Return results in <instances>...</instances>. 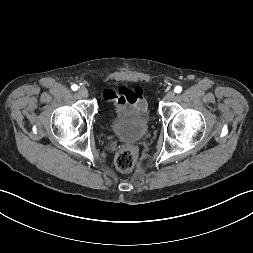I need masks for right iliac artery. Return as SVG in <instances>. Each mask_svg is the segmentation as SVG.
<instances>
[{
  "instance_id": "right-iliac-artery-1",
  "label": "right iliac artery",
  "mask_w": 253,
  "mask_h": 253,
  "mask_svg": "<svg viewBox=\"0 0 253 253\" xmlns=\"http://www.w3.org/2000/svg\"><path fill=\"white\" fill-rule=\"evenodd\" d=\"M71 88H72L73 91H76V90L78 89V86H77L76 84H73V85L71 86Z\"/></svg>"
}]
</instances>
